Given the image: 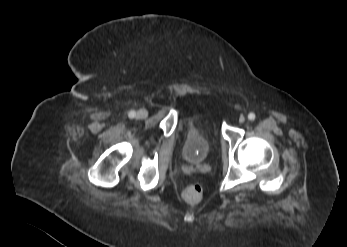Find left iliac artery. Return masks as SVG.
Returning <instances> with one entry per match:
<instances>
[{
	"mask_svg": "<svg viewBox=\"0 0 347 247\" xmlns=\"http://www.w3.org/2000/svg\"><path fill=\"white\" fill-rule=\"evenodd\" d=\"M248 119H249L250 121H253V120L255 119V114H254V113H249V114H248Z\"/></svg>",
	"mask_w": 347,
	"mask_h": 247,
	"instance_id": "left-iliac-artery-1",
	"label": "left iliac artery"
}]
</instances>
